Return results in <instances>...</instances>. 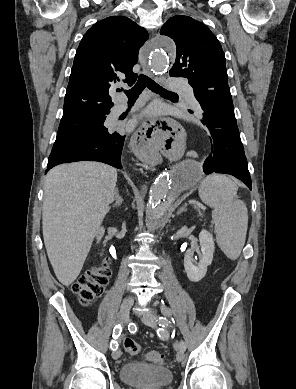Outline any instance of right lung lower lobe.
<instances>
[{"label":"right lung lower lobe","mask_w":296,"mask_h":389,"mask_svg":"<svg viewBox=\"0 0 296 389\" xmlns=\"http://www.w3.org/2000/svg\"><path fill=\"white\" fill-rule=\"evenodd\" d=\"M125 135L103 131L79 140L54 145L48 159L47 170L61 163L99 161L121 168V152Z\"/></svg>","instance_id":"obj_1"}]
</instances>
